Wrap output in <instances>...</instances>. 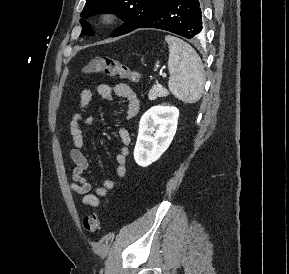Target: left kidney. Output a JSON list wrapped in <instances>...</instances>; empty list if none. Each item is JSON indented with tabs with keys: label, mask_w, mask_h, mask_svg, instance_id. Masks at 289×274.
<instances>
[{
	"label": "left kidney",
	"mask_w": 289,
	"mask_h": 274,
	"mask_svg": "<svg viewBox=\"0 0 289 274\" xmlns=\"http://www.w3.org/2000/svg\"><path fill=\"white\" fill-rule=\"evenodd\" d=\"M179 110L174 106H154L141 117L134 148L135 162L147 167L168 149L177 130Z\"/></svg>",
	"instance_id": "obj_1"
}]
</instances>
